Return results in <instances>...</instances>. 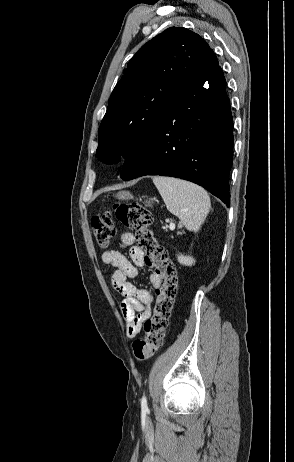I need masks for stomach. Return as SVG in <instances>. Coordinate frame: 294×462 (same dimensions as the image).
I'll list each match as a JSON object with an SVG mask.
<instances>
[{
	"label": "stomach",
	"mask_w": 294,
	"mask_h": 462,
	"mask_svg": "<svg viewBox=\"0 0 294 462\" xmlns=\"http://www.w3.org/2000/svg\"><path fill=\"white\" fill-rule=\"evenodd\" d=\"M117 197L119 199H123V200H126V199H132L133 196L130 194V192L128 191H122V192H119L117 194ZM154 199H150L149 201H146V203L150 204V203H153Z\"/></svg>",
	"instance_id": "stomach-1"
}]
</instances>
